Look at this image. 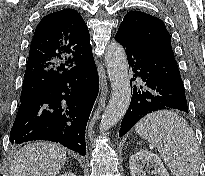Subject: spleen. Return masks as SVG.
I'll use <instances>...</instances> for the list:
<instances>
[{"instance_id":"obj_1","label":"spleen","mask_w":205,"mask_h":176,"mask_svg":"<svg viewBox=\"0 0 205 176\" xmlns=\"http://www.w3.org/2000/svg\"><path fill=\"white\" fill-rule=\"evenodd\" d=\"M135 131L158 151L174 176H198L199 146L187 121L173 111H157L140 120Z\"/></svg>"}]
</instances>
